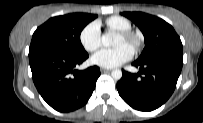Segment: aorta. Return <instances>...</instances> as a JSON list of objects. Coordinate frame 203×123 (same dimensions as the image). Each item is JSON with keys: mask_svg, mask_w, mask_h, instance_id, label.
<instances>
[{"mask_svg": "<svg viewBox=\"0 0 203 123\" xmlns=\"http://www.w3.org/2000/svg\"><path fill=\"white\" fill-rule=\"evenodd\" d=\"M102 44L106 47L113 45L115 41V35L111 32H106L102 35ZM114 80H120L122 78V71L120 69H115L111 73Z\"/></svg>", "mask_w": 203, "mask_h": 123, "instance_id": "aorta-1", "label": "aorta"}]
</instances>
